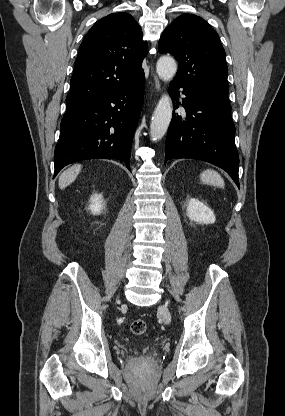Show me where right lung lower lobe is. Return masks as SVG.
<instances>
[{
	"instance_id": "obj_1",
	"label": "right lung lower lobe",
	"mask_w": 285,
	"mask_h": 416,
	"mask_svg": "<svg viewBox=\"0 0 285 416\" xmlns=\"http://www.w3.org/2000/svg\"><path fill=\"white\" fill-rule=\"evenodd\" d=\"M143 90L144 77L106 98L67 108L54 153V177L64 166L87 159L121 160L130 170Z\"/></svg>"
}]
</instances>
